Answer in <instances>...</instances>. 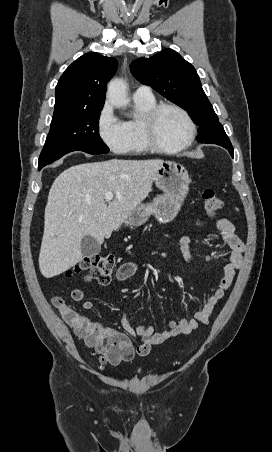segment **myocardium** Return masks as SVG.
Listing matches in <instances>:
<instances>
[{
    "mask_svg": "<svg viewBox=\"0 0 272 452\" xmlns=\"http://www.w3.org/2000/svg\"><path fill=\"white\" fill-rule=\"evenodd\" d=\"M165 109H173L179 112L185 119L188 127V134L186 139L181 144L174 147L164 146L156 138V121L159 114ZM142 129L144 139L150 149L168 154L178 153L189 147L196 135V126L189 113L183 107L174 103H161L150 109L144 116Z\"/></svg>",
    "mask_w": 272,
    "mask_h": 452,
    "instance_id": "f54148a6",
    "label": "myocardium"
}]
</instances>
